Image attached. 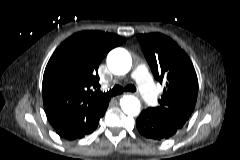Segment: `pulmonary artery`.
<instances>
[{
	"mask_svg": "<svg viewBox=\"0 0 240 160\" xmlns=\"http://www.w3.org/2000/svg\"><path fill=\"white\" fill-rule=\"evenodd\" d=\"M131 77L137 82L142 98L149 104L155 105L157 101V89L144 64L137 65Z\"/></svg>",
	"mask_w": 240,
	"mask_h": 160,
	"instance_id": "e3ab8cb5",
	"label": "pulmonary artery"
}]
</instances>
